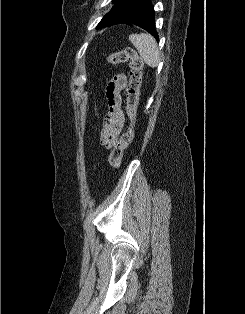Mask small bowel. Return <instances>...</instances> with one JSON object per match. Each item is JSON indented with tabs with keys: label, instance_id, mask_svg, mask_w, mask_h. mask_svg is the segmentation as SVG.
<instances>
[{
	"label": "small bowel",
	"instance_id": "c3829d8e",
	"mask_svg": "<svg viewBox=\"0 0 245 314\" xmlns=\"http://www.w3.org/2000/svg\"><path fill=\"white\" fill-rule=\"evenodd\" d=\"M126 81V76L121 73L114 76L106 87L107 111L102 118L100 143L107 148L115 145L124 126L122 91Z\"/></svg>",
	"mask_w": 245,
	"mask_h": 314
}]
</instances>
